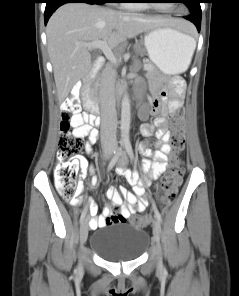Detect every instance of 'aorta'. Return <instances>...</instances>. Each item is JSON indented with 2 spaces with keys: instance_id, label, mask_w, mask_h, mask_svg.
Wrapping results in <instances>:
<instances>
[{
  "instance_id": "762f6f07",
  "label": "aorta",
  "mask_w": 239,
  "mask_h": 296,
  "mask_svg": "<svg viewBox=\"0 0 239 296\" xmlns=\"http://www.w3.org/2000/svg\"><path fill=\"white\" fill-rule=\"evenodd\" d=\"M130 101L127 95L122 99V109H121V134L124 140L129 137L130 129Z\"/></svg>"
}]
</instances>
